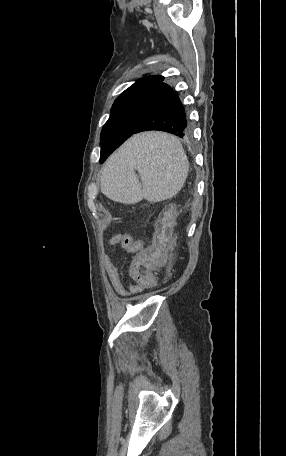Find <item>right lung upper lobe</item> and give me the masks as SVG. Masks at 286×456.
Returning a JSON list of instances; mask_svg holds the SVG:
<instances>
[{
  "mask_svg": "<svg viewBox=\"0 0 286 456\" xmlns=\"http://www.w3.org/2000/svg\"><path fill=\"white\" fill-rule=\"evenodd\" d=\"M164 80V77L163 76H160V75H153V76H147V77H143L141 79H139L138 81H136L132 86H130L128 89H126L122 94L121 96H119L116 100H121L122 98H124L125 96H127L129 93L133 92L134 90H137L139 88H142V87H145V86H148V85H151V84H154V83H157V82H161ZM115 100V101H116Z\"/></svg>",
  "mask_w": 286,
  "mask_h": 456,
  "instance_id": "obj_1",
  "label": "right lung upper lobe"
}]
</instances>
